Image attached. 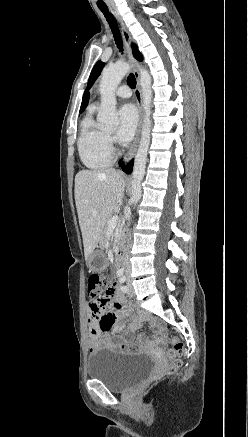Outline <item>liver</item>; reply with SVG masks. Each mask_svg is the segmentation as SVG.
<instances>
[{"mask_svg":"<svg viewBox=\"0 0 248 437\" xmlns=\"http://www.w3.org/2000/svg\"><path fill=\"white\" fill-rule=\"evenodd\" d=\"M125 188L122 173L81 170L75 176V203L87 260L103 238L105 224L121 203Z\"/></svg>","mask_w":248,"mask_h":437,"instance_id":"1","label":"liver"}]
</instances>
